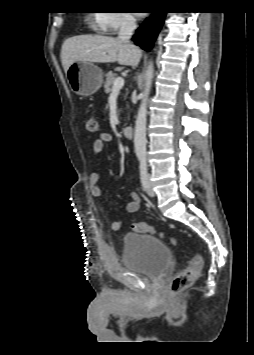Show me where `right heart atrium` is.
<instances>
[{"label":"right heart atrium","instance_id":"1","mask_svg":"<svg viewBox=\"0 0 254 355\" xmlns=\"http://www.w3.org/2000/svg\"><path fill=\"white\" fill-rule=\"evenodd\" d=\"M95 28L108 34H115L122 29L131 28L135 20L131 13L123 10L98 11L93 16Z\"/></svg>","mask_w":254,"mask_h":355}]
</instances>
